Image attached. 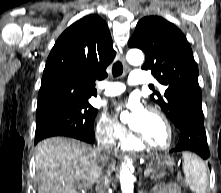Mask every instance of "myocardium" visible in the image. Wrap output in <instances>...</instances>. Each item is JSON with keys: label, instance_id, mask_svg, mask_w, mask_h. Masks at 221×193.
I'll list each match as a JSON object with an SVG mask.
<instances>
[{"label": "myocardium", "instance_id": "obj_1", "mask_svg": "<svg viewBox=\"0 0 221 193\" xmlns=\"http://www.w3.org/2000/svg\"><path fill=\"white\" fill-rule=\"evenodd\" d=\"M147 110L157 114L162 119V121L164 122V124L167 128V132H168V141H167V143L163 146L154 145L151 142H149L145 138L144 135L137 132L135 129H132L133 133L137 136L139 142L142 143L143 145L147 146L148 148L155 149V150H160V151L168 150L172 146L173 141H174V131H173V127H172V124H171L169 118L167 117V115L162 110H160L159 108H157L155 106H149L147 108Z\"/></svg>", "mask_w": 221, "mask_h": 193}]
</instances>
